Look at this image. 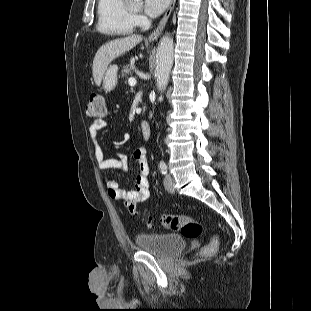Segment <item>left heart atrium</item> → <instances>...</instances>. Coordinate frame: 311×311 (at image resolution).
<instances>
[{
	"label": "left heart atrium",
	"mask_w": 311,
	"mask_h": 311,
	"mask_svg": "<svg viewBox=\"0 0 311 311\" xmlns=\"http://www.w3.org/2000/svg\"><path fill=\"white\" fill-rule=\"evenodd\" d=\"M171 0H145L144 1V11L149 16H157L162 13Z\"/></svg>",
	"instance_id": "1"
}]
</instances>
